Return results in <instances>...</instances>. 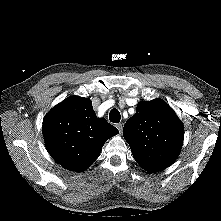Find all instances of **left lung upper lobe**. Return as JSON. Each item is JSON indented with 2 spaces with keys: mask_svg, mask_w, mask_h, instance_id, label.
I'll use <instances>...</instances> for the list:
<instances>
[{
  "mask_svg": "<svg viewBox=\"0 0 221 221\" xmlns=\"http://www.w3.org/2000/svg\"><path fill=\"white\" fill-rule=\"evenodd\" d=\"M123 136L139 166L147 173L161 171L178 157L184 127L174 111L160 99L138 103L124 125Z\"/></svg>",
  "mask_w": 221,
  "mask_h": 221,
  "instance_id": "left-lung-upper-lobe-1",
  "label": "left lung upper lobe"
}]
</instances>
